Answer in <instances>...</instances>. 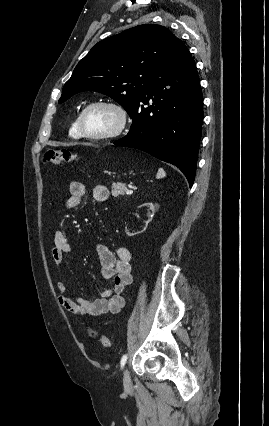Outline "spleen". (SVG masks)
Wrapping results in <instances>:
<instances>
[{"label": "spleen", "mask_w": 269, "mask_h": 426, "mask_svg": "<svg viewBox=\"0 0 269 426\" xmlns=\"http://www.w3.org/2000/svg\"><path fill=\"white\" fill-rule=\"evenodd\" d=\"M165 176H166L165 171H164L162 168H160V169L158 170V172H157L156 178H157V179H160V178H163V177H165Z\"/></svg>", "instance_id": "spleen-1"}]
</instances>
